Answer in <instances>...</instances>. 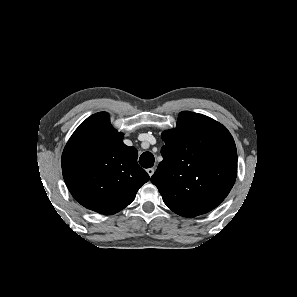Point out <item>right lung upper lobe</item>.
<instances>
[{
    "mask_svg": "<svg viewBox=\"0 0 297 297\" xmlns=\"http://www.w3.org/2000/svg\"><path fill=\"white\" fill-rule=\"evenodd\" d=\"M138 152L123 143L109 114L88 117L73 133L62 154L64 181L85 208L114 214L129 205L149 175L138 163Z\"/></svg>",
    "mask_w": 297,
    "mask_h": 297,
    "instance_id": "obj_1",
    "label": "right lung upper lobe"
}]
</instances>
